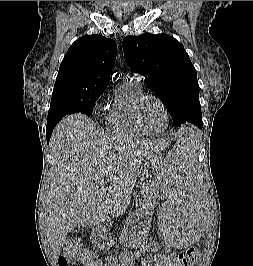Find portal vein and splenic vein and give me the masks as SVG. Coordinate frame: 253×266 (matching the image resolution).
Returning a JSON list of instances; mask_svg holds the SVG:
<instances>
[{"label": "portal vein and splenic vein", "mask_w": 253, "mask_h": 266, "mask_svg": "<svg viewBox=\"0 0 253 266\" xmlns=\"http://www.w3.org/2000/svg\"><path fill=\"white\" fill-rule=\"evenodd\" d=\"M106 182H109V179H106Z\"/></svg>", "instance_id": "portal-vein-and-splenic-vein-1"}]
</instances>
